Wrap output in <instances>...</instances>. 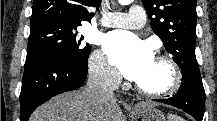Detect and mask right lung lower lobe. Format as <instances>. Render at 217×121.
<instances>
[{
	"mask_svg": "<svg viewBox=\"0 0 217 121\" xmlns=\"http://www.w3.org/2000/svg\"><path fill=\"white\" fill-rule=\"evenodd\" d=\"M87 64L54 59L26 62L19 98L20 120L27 121L39 105L53 96L81 87L87 77Z\"/></svg>",
	"mask_w": 217,
	"mask_h": 121,
	"instance_id": "1",
	"label": "right lung lower lobe"
}]
</instances>
